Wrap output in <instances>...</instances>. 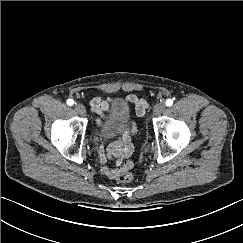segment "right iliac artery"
I'll use <instances>...</instances> for the list:
<instances>
[{"mask_svg": "<svg viewBox=\"0 0 243 243\" xmlns=\"http://www.w3.org/2000/svg\"><path fill=\"white\" fill-rule=\"evenodd\" d=\"M67 104H68L69 106H72V105L74 104V101H73L72 99H68V100H67Z\"/></svg>", "mask_w": 243, "mask_h": 243, "instance_id": "82829eb1", "label": "right iliac artery"}]
</instances>
